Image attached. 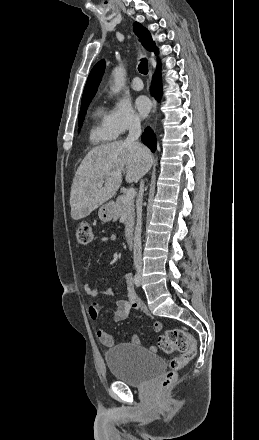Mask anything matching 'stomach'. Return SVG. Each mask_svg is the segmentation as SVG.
Wrapping results in <instances>:
<instances>
[{
	"label": "stomach",
	"mask_w": 259,
	"mask_h": 440,
	"mask_svg": "<svg viewBox=\"0 0 259 440\" xmlns=\"http://www.w3.org/2000/svg\"><path fill=\"white\" fill-rule=\"evenodd\" d=\"M98 217L103 223H107L114 218V205L112 202L102 205L98 211Z\"/></svg>",
	"instance_id": "1"
}]
</instances>
